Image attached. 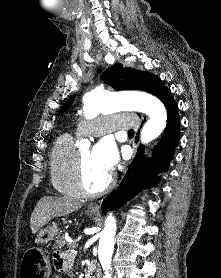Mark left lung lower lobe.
<instances>
[{
	"label": "left lung lower lobe",
	"mask_w": 221,
	"mask_h": 278,
	"mask_svg": "<svg viewBox=\"0 0 221 278\" xmlns=\"http://www.w3.org/2000/svg\"><path fill=\"white\" fill-rule=\"evenodd\" d=\"M166 108L167 126L160 142L154 147V156L146 159L144 146L140 145L122 182L103 200L102 213L123 206L142 189L155 186L159 182L157 174L168 169L169 162L175 153V146L180 139V119L174 100Z\"/></svg>",
	"instance_id": "left-lung-lower-lobe-1"
}]
</instances>
